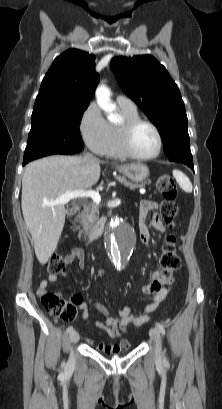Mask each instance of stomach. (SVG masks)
<instances>
[{
    "instance_id": "1",
    "label": "stomach",
    "mask_w": 222,
    "mask_h": 409,
    "mask_svg": "<svg viewBox=\"0 0 222 409\" xmlns=\"http://www.w3.org/2000/svg\"><path fill=\"white\" fill-rule=\"evenodd\" d=\"M117 170L133 182H143L149 176V169L142 163L117 166Z\"/></svg>"
}]
</instances>
